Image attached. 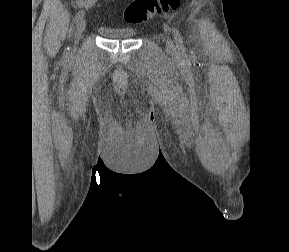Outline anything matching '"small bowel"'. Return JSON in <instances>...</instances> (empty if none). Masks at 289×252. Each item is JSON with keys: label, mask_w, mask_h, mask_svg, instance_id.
Returning <instances> with one entry per match:
<instances>
[{"label": "small bowel", "mask_w": 289, "mask_h": 252, "mask_svg": "<svg viewBox=\"0 0 289 252\" xmlns=\"http://www.w3.org/2000/svg\"><path fill=\"white\" fill-rule=\"evenodd\" d=\"M98 1L99 0H73V5L77 8L89 9L95 4H97ZM106 1H113V0H106Z\"/></svg>", "instance_id": "small-bowel-1"}]
</instances>
